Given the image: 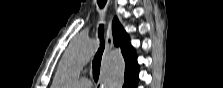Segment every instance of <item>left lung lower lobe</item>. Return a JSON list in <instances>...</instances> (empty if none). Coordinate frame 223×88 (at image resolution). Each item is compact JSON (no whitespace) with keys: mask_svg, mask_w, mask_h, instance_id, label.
<instances>
[{"mask_svg":"<svg viewBox=\"0 0 223 88\" xmlns=\"http://www.w3.org/2000/svg\"><path fill=\"white\" fill-rule=\"evenodd\" d=\"M138 82V65L125 67V82L123 88H136Z\"/></svg>","mask_w":223,"mask_h":88,"instance_id":"1","label":"left lung lower lobe"}]
</instances>
